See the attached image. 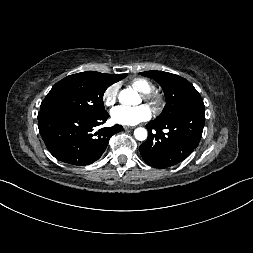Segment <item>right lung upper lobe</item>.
<instances>
[{
  "label": "right lung upper lobe",
  "mask_w": 253,
  "mask_h": 253,
  "mask_svg": "<svg viewBox=\"0 0 253 253\" xmlns=\"http://www.w3.org/2000/svg\"><path fill=\"white\" fill-rule=\"evenodd\" d=\"M108 76H109L111 79H113V80H115V81L117 82V81H119V80L125 78V77L127 76V74H116V75H109V74H108Z\"/></svg>",
  "instance_id": "right-lung-upper-lobe-1"
}]
</instances>
